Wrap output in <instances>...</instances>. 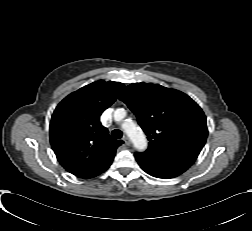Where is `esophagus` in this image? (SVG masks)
I'll list each match as a JSON object with an SVG mask.
<instances>
[{
	"label": "esophagus",
	"instance_id": "1",
	"mask_svg": "<svg viewBox=\"0 0 252 231\" xmlns=\"http://www.w3.org/2000/svg\"><path fill=\"white\" fill-rule=\"evenodd\" d=\"M123 141L125 142V144H126L127 146H129V145L131 144L130 139H129L127 136H124V137H123Z\"/></svg>",
	"mask_w": 252,
	"mask_h": 231
}]
</instances>
